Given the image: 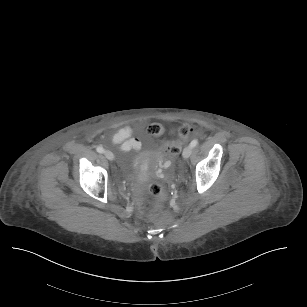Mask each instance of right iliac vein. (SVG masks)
Here are the masks:
<instances>
[{"mask_svg":"<svg viewBox=\"0 0 307 307\" xmlns=\"http://www.w3.org/2000/svg\"><path fill=\"white\" fill-rule=\"evenodd\" d=\"M104 155L110 161H112L114 159V155L111 151H108V150L104 151Z\"/></svg>","mask_w":307,"mask_h":307,"instance_id":"63e3f726","label":"right iliac vein"}]
</instances>
